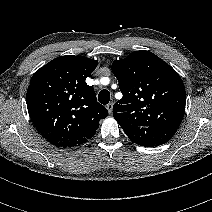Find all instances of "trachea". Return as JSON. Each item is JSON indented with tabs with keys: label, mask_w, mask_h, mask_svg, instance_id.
I'll list each match as a JSON object with an SVG mask.
<instances>
[{
	"label": "trachea",
	"mask_w": 212,
	"mask_h": 212,
	"mask_svg": "<svg viewBox=\"0 0 212 212\" xmlns=\"http://www.w3.org/2000/svg\"><path fill=\"white\" fill-rule=\"evenodd\" d=\"M109 100H110V93L108 90L106 89H103L100 91V93L98 94V101L101 103V104H108L109 103Z\"/></svg>",
	"instance_id": "obj_1"
}]
</instances>
